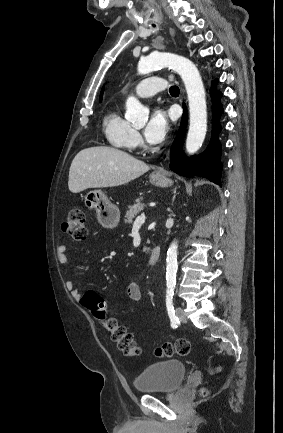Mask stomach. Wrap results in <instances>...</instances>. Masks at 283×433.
Instances as JSON below:
<instances>
[{
  "instance_id": "stomach-1",
  "label": "stomach",
  "mask_w": 283,
  "mask_h": 433,
  "mask_svg": "<svg viewBox=\"0 0 283 433\" xmlns=\"http://www.w3.org/2000/svg\"><path fill=\"white\" fill-rule=\"evenodd\" d=\"M150 182L156 184V186H171L173 180L168 178L164 172L155 170V172L150 174ZM84 204L87 208H95L97 217L102 223H112V221H115L117 227L120 219V210L118 206L110 202L102 190H89L85 194Z\"/></svg>"
}]
</instances>
